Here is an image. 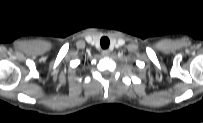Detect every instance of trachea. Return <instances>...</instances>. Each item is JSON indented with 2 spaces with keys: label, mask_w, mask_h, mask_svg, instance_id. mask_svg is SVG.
Masks as SVG:
<instances>
[{
  "label": "trachea",
  "mask_w": 203,
  "mask_h": 123,
  "mask_svg": "<svg viewBox=\"0 0 203 123\" xmlns=\"http://www.w3.org/2000/svg\"><path fill=\"white\" fill-rule=\"evenodd\" d=\"M100 44H101V47L103 49L108 48L109 44H110V41H109L108 37H102L101 40H100Z\"/></svg>",
  "instance_id": "3493384b"
}]
</instances>
